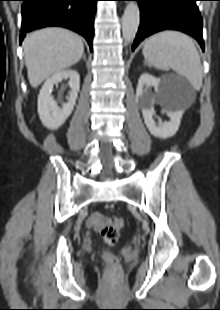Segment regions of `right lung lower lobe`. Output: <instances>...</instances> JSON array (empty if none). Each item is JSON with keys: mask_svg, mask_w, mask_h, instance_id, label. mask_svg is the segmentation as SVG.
I'll return each instance as SVG.
<instances>
[{"mask_svg": "<svg viewBox=\"0 0 220 310\" xmlns=\"http://www.w3.org/2000/svg\"><path fill=\"white\" fill-rule=\"evenodd\" d=\"M20 43L27 32L61 26L82 35L92 50L94 15L98 0H22Z\"/></svg>", "mask_w": 220, "mask_h": 310, "instance_id": "98d812e1", "label": "right lung lower lobe"}]
</instances>
